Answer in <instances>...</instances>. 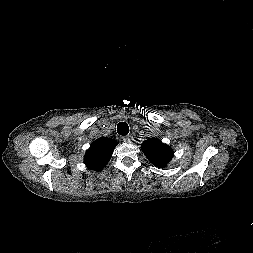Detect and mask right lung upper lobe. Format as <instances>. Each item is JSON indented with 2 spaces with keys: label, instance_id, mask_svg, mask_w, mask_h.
<instances>
[{
  "label": "right lung upper lobe",
  "instance_id": "obj_1",
  "mask_svg": "<svg viewBox=\"0 0 253 253\" xmlns=\"http://www.w3.org/2000/svg\"><path fill=\"white\" fill-rule=\"evenodd\" d=\"M116 145L117 141L114 139H97L85 154V164L91 170H102L109 162Z\"/></svg>",
  "mask_w": 253,
  "mask_h": 253
}]
</instances>
